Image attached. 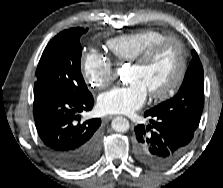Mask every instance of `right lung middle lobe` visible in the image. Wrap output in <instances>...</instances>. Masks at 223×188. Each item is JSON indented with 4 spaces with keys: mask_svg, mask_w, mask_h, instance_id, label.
Returning <instances> with one entry per match:
<instances>
[{
    "mask_svg": "<svg viewBox=\"0 0 223 188\" xmlns=\"http://www.w3.org/2000/svg\"><path fill=\"white\" fill-rule=\"evenodd\" d=\"M88 29L76 27L56 35L46 46L39 61L34 89H46L84 99L92 94L80 70V37Z\"/></svg>",
    "mask_w": 223,
    "mask_h": 188,
    "instance_id": "obj_1",
    "label": "right lung middle lobe"
}]
</instances>
